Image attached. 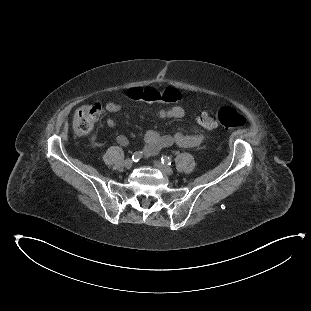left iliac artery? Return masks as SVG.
<instances>
[{
    "mask_svg": "<svg viewBox=\"0 0 311 311\" xmlns=\"http://www.w3.org/2000/svg\"><path fill=\"white\" fill-rule=\"evenodd\" d=\"M161 162L165 165H171L172 164V159L168 156H162L161 157Z\"/></svg>",
    "mask_w": 311,
    "mask_h": 311,
    "instance_id": "obj_1",
    "label": "left iliac artery"
}]
</instances>
